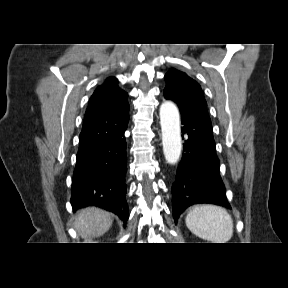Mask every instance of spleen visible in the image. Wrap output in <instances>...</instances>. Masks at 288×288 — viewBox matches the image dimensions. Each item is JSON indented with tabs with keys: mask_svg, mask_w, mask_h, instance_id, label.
<instances>
[{
	"mask_svg": "<svg viewBox=\"0 0 288 288\" xmlns=\"http://www.w3.org/2000/svg\"><path fill=\"white\" fill-rule=\"evenodd\" d=\"M185 222L193 234L212 243H226L233 236L231 215L219 206H196L187 214Z\"/></svg>",
	"mask_w": 288,
	"mask_h": 288,
	"instance_id": "3e777b00",
	"label": "spleen"
}]
</instances>
